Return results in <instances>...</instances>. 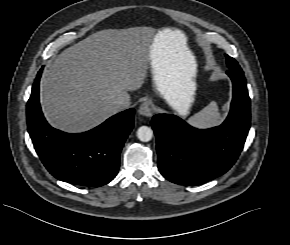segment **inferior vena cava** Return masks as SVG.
Returning a JSON list of instances; mask_svg holds the SVG:
<instances>
[{
    "label": "inferior vena cava",
    "mask_w": 290,
    "mask_h": 245,
    "mask_svg": "<svg viewBox=\"0 0 290 245\" xmlns=\"http://www.w3.org/2000/svg\"><path fill=\"white\" fill-rule=\"evenodd\" d=\"M128 107V102H126L124 99L122 98H119L117 99L115 102H114V108L117 110V111H120V110H123L125 108Z\"/></svg>",
    "instance_id": "obj_1"
}]
</instances>
